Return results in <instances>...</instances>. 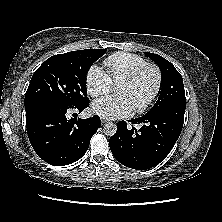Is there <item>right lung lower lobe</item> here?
<instances>
[{"label":"right lung lower lobe","mask_w":222,"mask_h":222,"mask_svg":"<svg viewBox=\"0 0 222 222\" xmlns=\"http://www.w3.org/2000/svg\"><path fill=\"white\" fill-rule=\"evenodd\" d=\"M89 100L76 105L43 101L26 108V128L30 143L45 162L64 166L79 160L101 126L100 117L67 119L69 110L83 111Z\"/></svg>","instance_id":"obj_1"}]
</instances>
